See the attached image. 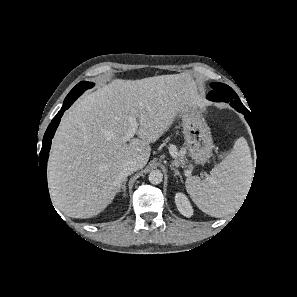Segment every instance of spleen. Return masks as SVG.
Returning a JSON list of instances; mask_svg holds the SVG:
<instances>
[{
    "mask_svg": "<svg viewBox=\"0 0 297 297\" xmlns=\"http://www.w3.org/2000/svg\"><path fill=\"white\" fill-rule=\"evenodd\" d=\"M253 175L252 158L244 137L236 140L231 153L201 180L192 176L186 189L193 202L206 214L223 217L233 213L248 192Z\"/></svg>",
    "mask_w": 297,
    "mask_h": 297,
    "instance_id": "spleen-1",
    "label": "spleen"
}]
</instances>
